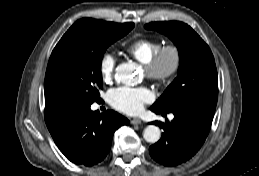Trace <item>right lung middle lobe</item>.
Here are the masks:
<instances>
[{
  "label": "right lung middle lobe",
  "instance_id": "obj_1",
  "mask_svg": "<svg viewBox=\"0 0 259 176\" xmlns=\"http://www.w3.org/2000/svg\"><path fill=\"white\" fill-rule=\"evenodd\" d=\"M133 27V23L84 18L68 29L55 46L47 66L65 102L91 105L100 99L103 54Z\"/></svg>",
  "mask_w": 259,
  "mask_h": 176
}]
</instances>
